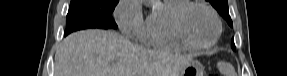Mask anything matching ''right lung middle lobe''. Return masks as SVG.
Here are the masks:
<instances>
[{"label":"right lung middle lobe","mask_w":287,"mask_h":76,"mask_svg":"<svg viewBox=\"0 0 287 76\" xmlns=\"http://www.w3.org/2000/svg\"><path fill=\"white\" fill-rule=\"evenodd\" d=\"M119 0H71L66 17L65 36L90 28L116 29L112 12Z\"/></svg>","instance_id":"obj_1"}]
</instances>
